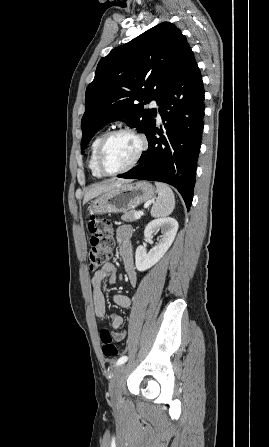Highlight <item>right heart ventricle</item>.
I'll return each mask as SVG.
<instances>
[{
    "instance_id": "e07e8e85",
    "label": "right heart ventricle",
    "mask_w": 269,
    "mask_h": 447,
    "mask_svg": "<svg viewBox=\"0 0 269 447\" xmlns=\"http://www.w3.org/2000/svg\"><path fill=\"white\" fill-rule=\"evenodd\" d=\"M107 133V131H102L93 139L91 143V150H90V158H89V168L92 172V174L95 177H102L104 174L101 172L97 165V152L99 145L101 143V140L103 139L104 135Z\"/></svg>"
}]
</instances>
